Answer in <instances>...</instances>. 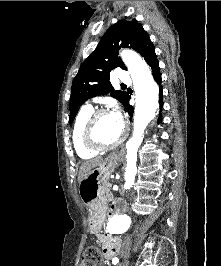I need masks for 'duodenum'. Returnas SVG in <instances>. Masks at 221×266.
<instances>
[{
	"mask_svg": "<svg viewBox=\"0 0 221 266\" xmlns=\"http://www.w3.org/2000/svg\"><path fill=\"white\" fill-rule=\"evenodd\" d=\"M112 210L115 211V212H120L123 210V206L118 203V202H115L113 205H112Z\"/></svg>",
	"mask_w": 221,
	"mask_h": 266,
	"instance_id": "410a0bca",
	"label": "duodenum"
}]
</instances>
